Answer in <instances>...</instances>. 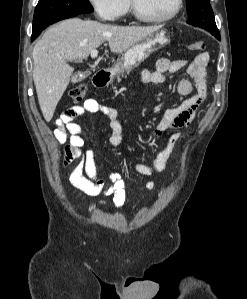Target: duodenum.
Here are the masks:
<instances>
[{
	"label": "duodenum",
	"instance_id": "410a0bca",
	"mask_svg": "<svg viewBox=\"0 0 247 299\" xmlns=\"http://www.w3.org/2000/svg\"><path fill=\"white\" fill-rule=\"evenodd\" d=\"M111 75L112 70L110 68L100 70L94 75L93 84L96 87H103L109 82Z\"/></svg>",
	"mask_w": 247,
	"mask_h": 299
}]
</instances>
